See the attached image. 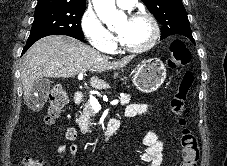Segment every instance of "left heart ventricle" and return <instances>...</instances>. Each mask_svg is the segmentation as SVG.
<instances>
[{
  "label": "left heart ventricle",
  "instance_id": "obj_1",
  "mask_svg": "<svg viewBox=\"0 0 227 166\" xmlns=\"http://www.w3.org/2000/svg\"><path fill=\"white\" fill-rule=\"evenodd\" d=\"M116 30L121 42L130 47L146 44L152 35L150 23L145 19L131 20L125 17L117 24Z\"/></svg>",
  "mask_w": 227,
  "mask_h": 166
}]
</instances>
